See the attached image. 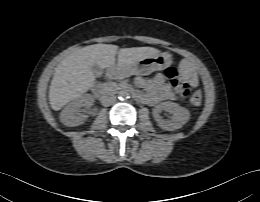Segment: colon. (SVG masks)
Listing matches in <instances>:
<instances>
[{
    "instance_id": "colon-1",
    "label": "colon",
    "mask_w": 260,
    "mask_h": 202,
    "mask_svg": "<svg viewBox=\"0 0 260 202\" xmlns=\"http://www.w3.org/2000/svg\"><path fill=\"white\" fill-rule=\"evenodd\" d=\"M166 78L169 84L175 90V92L182 98L187 99L193 106H198L202 101V93L199 90H195L189 93L187 85L183 77L180 75L178 69L174 66H169L165 70Z\"/></svg>"
}]
</instances>
